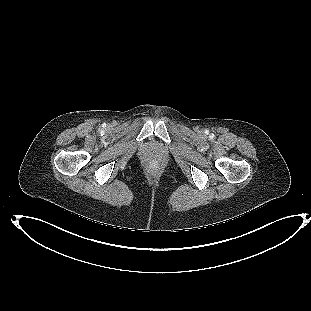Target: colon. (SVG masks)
Masks as SVG:
<instances>
[{
    "label": "colon",
    "instance_id": "5ec220e1",
    "mask_svg": "<svg viewBox=\"0 0 311 311\" xmlns=\"http://www.w3.org/2000/svg\"><path fill=\"white\" fill-rule=\"evenodd\" d=\"M157 165V162L156 161H153L152 162V167H155Z\"/></svg>",
    "mask_w": 311,
    "mask_h": 311
}]
</instances>
